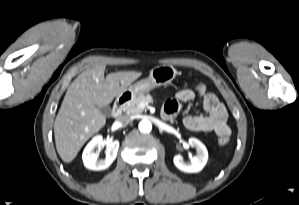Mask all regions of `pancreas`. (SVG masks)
I'll use <instances>...</instances> for the list:
<instances>
[{
	"instance_id": "cf45deb5",
	"label": "pancreas",
	"mask_w": 299,
	"mask_h": 205,
	"mask_svg": "<svg viewBox=\"0 0 299 205\" xmlns=\"http://www.w3.org/2000/svg\"><path fill=\"white\" fill-rule=\"evenodd\" d=\"M152 101V96L150 94L147 95H139L132 101H130L127 105L124 106L123 111L127 115H135L140 114L144 111L143 107H140L139 105L141 103H145V105H148Z\"/></svg>"
}]
</instances>
